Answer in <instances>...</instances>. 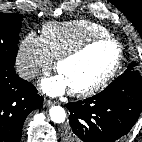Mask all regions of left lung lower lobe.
Segmentation results:
<instances>
[{
    "label": "left lung lower lobe",
    "instance_id": "1",
    "mask_svg": "<svg viewBox=\"0 0 142 142\" xmlns=\"http://www.w3.org/2000/svg\"><path fill=\"white\" fill-rule=\"evenodd\" d=\"M66 107L70 116L65 142L120 141L140 115L142 77L135 70L126 71L104 91Z\"/></svg>",
    "mask_w": 142,
    "mask_h": 142
}]
</instances>
